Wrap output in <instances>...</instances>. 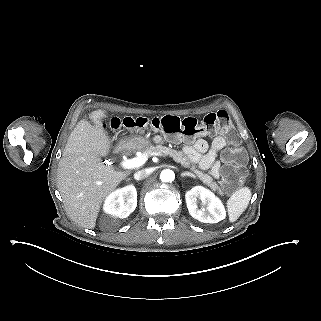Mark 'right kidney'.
Returning <instances> with one entry per match:
<instances>
[{
    "instance_id": "1",
    "label": "right kidney",
    "mask_w": 321,
    "mask_h": 321,
    "mask_svg": "<svg viewBox=\"0 0 321 321\" xmlns=\"http://www.w3.org/2000/svg\"><path fill=\"white\" fill-rule=\"evenodd\" d=\"M137 206V191L134 186H127L112 193L106 200L104 210L120 218H126Z\"/></svg>"
}]
</instances>
